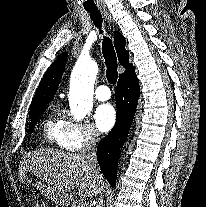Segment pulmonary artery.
I'll return each mask as SVG.
<instances>
[{
	"label": "pulmonary artery",
	"mask_w": 206,
	"mask_h": 207,
	"mask_svg": "<svg viewBox=\"0 0 206 207\" xmlns=\"http://www.w3.org/2000/svg\"><path fill=\"white\" fill-rule=\"evenodd\" d=\"M95 97L100 101H106L111 98V91L106 85H100L95 90Z\"/></svg>",
	"instance_id": "obj_1"
}]
</instances>
